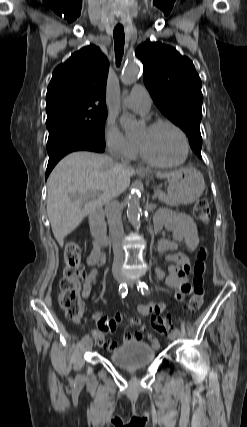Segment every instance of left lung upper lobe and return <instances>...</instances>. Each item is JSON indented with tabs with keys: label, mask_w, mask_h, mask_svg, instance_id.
Returning a JSON list of instances; mask_svg holds the SVG:
<instances>
[{
	"label": "left lung upper lobe",
	"mask_w": 247,
	"mask_h": 427,
	"mask_svg": "<svg viewBox=\"0 0 247 427\" xmlns=\"http://www.w3.org/2000/svg\"><path fill=\"white\" fill-rule=\"evenodd\" d=\"M143 63V78L160 111L188 136L201 159V80L192 61L173 47L147 41L136 50Z\"/></svg>",
	"instance_id": "obj_1"
}]
</instances>
